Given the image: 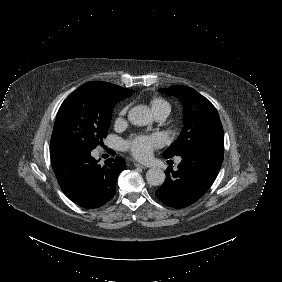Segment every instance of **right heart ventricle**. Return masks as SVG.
I'll return each instance as SVG.
<instances>
[{
	"instance_id": "1",
	"label": "right heart ventricle",
	"mask_w": 282,
	"mask_h": 282,
	"mask_svg": "<svg viewBox=\"0 0 282 282\" xmlns=\"http://www.w3.org/2000/svg\"><path fill=\"white\" fill-rule=\"evenodd\" d=\"M152 110L155 115L171 110L170 104L161 98H156L151 102Z\"/></svg>"
}]
</instances>
